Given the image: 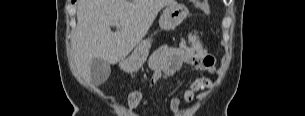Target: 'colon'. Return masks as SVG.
Masks as SVG:
<instances>
[{
	"label": "colon",
	"mask_w": 305,
	"mask_h": 116,
	"mask_svg": "<svg viewBox=\"0 0 305 116\" xmlns=\"http://www.w3.org/2000/svg\"><path fill=\"white\" fill-rule=\"evenodd\" d=\"M143 103V94L140 90H134L129 93L126 103L125 111L126 116H136V112Z\"/></svg>",
	"instance_id": "colon-1"
}]
</instances>
